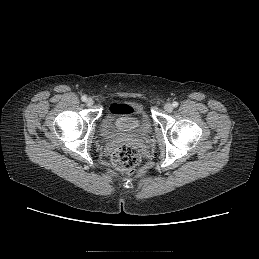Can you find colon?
<instances>
[{"label": "colon", "instance_id": "obj_1", "mask_svg": "<svg viewBox=\"0 0 259 259\" xmlns=\"http://www.w3.org/2000/svg\"><path fill=\"white\" fill-rule=\"evenodd\" d=\"M140 159L137 147L130 144H121L112 153L111 160L114 167L121 173L132 175Z\"/></svg>", "mask_w": 259, "mask_h": 259}]
</instances>
